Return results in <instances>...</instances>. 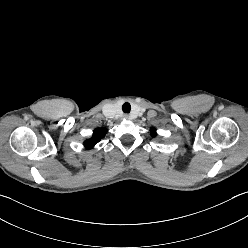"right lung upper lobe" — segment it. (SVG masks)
Wrapping results in <instances>:
<instances>
[{
	"label": "right lung upper lobe",
	"instance_id": "obj_1",
	"mask_svg": "<svg viewBox=\"0 0 248 248\" xmlns=\"http://www.w3.org/2000/svg\"><path fill=\"white\" fill-rule=\"evenodd\" d=\"M106 132V128L95 129L92 138L84 142L85 147L88 149L94 147L105 136Z\"/></svg>",
	"mask_w": 248,
	"mask_h": 248
}]
</instances>
